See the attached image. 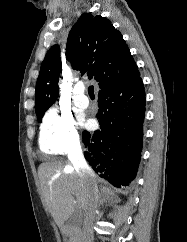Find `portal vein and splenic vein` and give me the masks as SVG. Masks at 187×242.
<instances>
[{
  "mask_svg": "<svg viewBox=\"0 0 187 242\" xmlns=\"http://www.w3.org/2000/svg\"><path fill=\"white\" fill-rule=\"evenodd\" d=\"M74 203L76 204L77 202H76V201H74ZM78 208H79V206H78Z\"/></svg>",
  "mask_w": 187,
  "mask_h": 242,
  "instance_id": "obj_1",
  "label": "portal vein and splenic vein"
}]
</instances>
